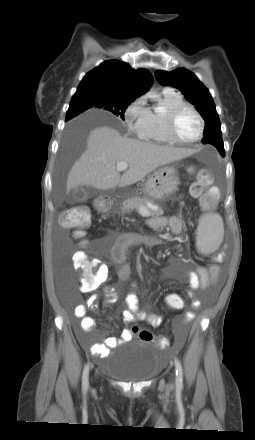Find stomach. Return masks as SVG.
<instances>
[{"label":"stomach","mask_w":255,"mask_h":440,"mask_svg":"<svg viewBox=\"0 0 255 440\" xmlns=\"http://www.w3.org/2000/svg\"><path fill=\"white\" fill-rule=\"evenodd\" d=\"M179 185L174 167L159 168L151 174L144 185V192L152 199L163 200L172 195Z\"/></svg>","instance_id":"stomach-1"}]
</instances>
